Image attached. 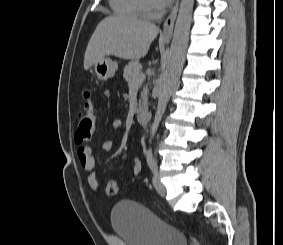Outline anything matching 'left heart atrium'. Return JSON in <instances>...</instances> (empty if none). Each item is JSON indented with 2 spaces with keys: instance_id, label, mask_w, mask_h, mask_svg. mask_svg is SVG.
I'll use <instances>...</instances> for the list:
<instances>
[{
  "instance_id": "1",
  "label": "left heart atrium",
  "mask_w": 283,
  "mask_h": 245,
  "mask_svg": "<svg viewBox=\"0 0 283 245\" xmlns=\"http://www.w3.org/2000/svg\"><path fill=\"white\" fill-rule=\"evenodd\" d=\"M153 1L158 8H162L168 5L171 0H153Z\"/></svg>"
}]
</instances>
